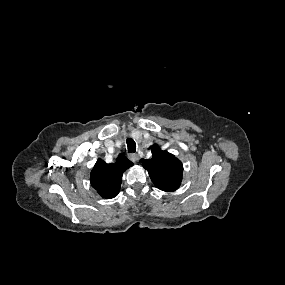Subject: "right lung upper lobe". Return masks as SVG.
Instances as JSON below:
<instances>
[{
	"label": "right lung upper lobe",
	"instance_id": "1",
	"mask_svg": "<svg viewBox=\"0 0 285 285\" xmlns=\"http://www.w3.org/2000/svg\"><path fill=\"white\" fill-rule=\"evenodd\" d=\"M133 166L123 154L115 163L107 164L102 159H98L94 165L90 182L92 187L106 199L114 198L120 191L123 172Z\"/></svg>",
	"mask_w": 285,
	"mask_h": 285
}]
</instances>
